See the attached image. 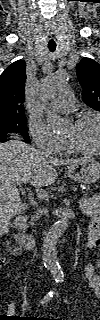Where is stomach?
I'll list each match as a JSON object with an SVG mask.
<instances>
[{
  "label": "stomach",
  "instance_id": "obj_1",
  "mask_svg": "<svg viewBox=\"0 0 100 320\" xmlns=\"http://www.w3.org/2000/svg\"><path fill=\"white\" fill-rule=\"evenodd\" d=\"M67 174L69 178L78 183H94L100 179V163L93 158L85 157L70 164Z\"/></svg>",
  "mask_w": 100,
  "mask_h": 320
}]
</instances>
